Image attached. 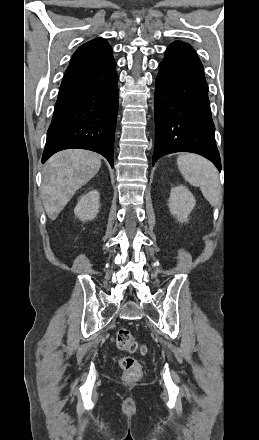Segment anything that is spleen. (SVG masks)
<instances>
[{
	"label": "spleen",
	"mask_w": 259,
	"mask_h": 440,
	"mask_svg": "<svg viewBox=\"0 0 259 440\" xmlns=\"http://www.w3.org/2000/svg\"><path fill=\"white\" fill-rule=\"evenodd\" d=\"M183 177L193 186L200 187L210 205H217L221 186L215 166L207 159L195 154H182L177 159Z\"/></svg>",
	"instance_id": "1"
}]
</instances>
